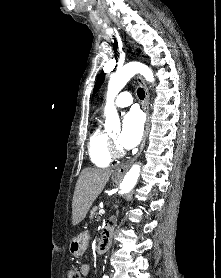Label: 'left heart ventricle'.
<instances>
[{
  "mask_svg": "<svg viewBox=\"0 0 221 278\" xmlns=\"http://www.w3.org/2000/svg\"><path fill=\"white\" fill-rule=\"evenodd\" d=\"M117 136H118L117 133L111 134V137H112L115 141H116V139H117Z\"/></svg>",
  "mask_w": 221,
  "mask_h": 278,
  "instance_id": "b2bd125f",
  "label": "left heart ventricle"
}]
</instances>
